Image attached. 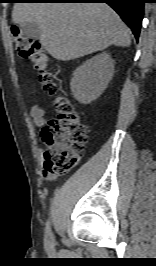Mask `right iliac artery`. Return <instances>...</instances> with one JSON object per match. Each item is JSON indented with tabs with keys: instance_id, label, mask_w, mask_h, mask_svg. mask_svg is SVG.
<instances>
[{
	"instance_id": "obj_1",
	"label": "right iliac artery",
	"mask_w": 156,
	"mask_h": 266,
	"mask_svg": "<svg viewBox=\"0 0 156 266\" xmlns=\"http://www.w3.org/2000/svg\"><path fill=\"white\" fill-rule=\"evenodd\" d=\"M45 238L49 240L50 242L53 241V235L51 233V227H50V222L48 221L46 224V229H45Z\"/></svg>"
}]
</instances>
